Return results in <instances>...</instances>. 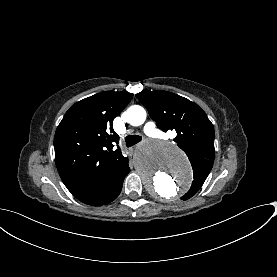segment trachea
I'll use <instances>...</instances> for the list:
<instances>
[{
  "mask_svg": "<svg viewBox=\"0 0 277 277\" xmlns=\"http://www.w3.org/2000/svg\"><path fill=\"white\" fill-rule=\"evenodd\" d=\"M142 140V137L139 135H129L126 137L125 142L127 147H132Z\"/></svg>",
  "mask_w": 277,
  "mask_h": 277,
  "instance_id": "trachea-1",
  "label": "trachea"
}]
</instances>
